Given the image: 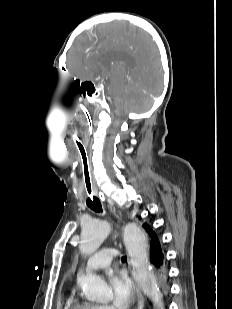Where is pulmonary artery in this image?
Segmentation results:
<instances>
[{
    "label": "pulmonary artery",
    "mask_w": 232,
    "mask_h": 309,
    "mask_svg": "<svg viewBox=\"0 0 232 309\" xmlns=\"http://www.w3.org/2000/svg\"><path fill=\"white\" fill-rule=\"evenodd\" d=\"M117 256V250L115 248H106L92 257L87 261V268L90 270H98L109 265L111 259Z\"/></svg>",
    "instance_id": "e3ab8cb5"
}]
</instances>
